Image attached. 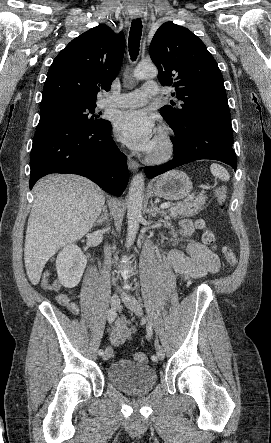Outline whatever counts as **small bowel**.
<instances>
[{
    "label": "small bowel",
    "instance_id": "small-bowel-1",
    "mask_svg": "<svg viewBox=\"0 0 271 443\" xmlns=\"http://www.w3.org/2000/svg\"><path fill=\"white\" fill-rule=\"evenodd\" d=\"M193 231L189 220L181 222V233L189 236ZM169 265L176 273L185 279L200 278L206 274H213L220 270L221 263L219 257L209 248L200 243H191L186 251L173 249L168 254ZM53 289L59 291L60 287L55 284ZM58 302L65 306L69 312L74 315L79 314V308L76 303L70 301L64 294L57 296ZM133 329L124 318H119L110 331V342L115 345H121L130 339Z\"/></svg>",
    "mask_w": 271,
    "mask_h": 443
}]
</instances>
